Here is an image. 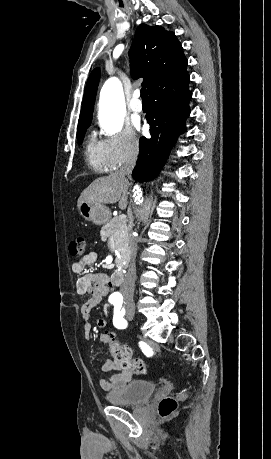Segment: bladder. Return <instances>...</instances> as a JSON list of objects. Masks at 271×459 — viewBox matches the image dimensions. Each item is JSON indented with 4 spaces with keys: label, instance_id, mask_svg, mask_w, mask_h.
I'll return each instance as SVG.
<instances>
[{
    "label": "bladder",
    "instance_id": "31cf9c89",
    "mask_svg": "<svg viewBox=\"0 0 271 459\" xmlns=\"http://www.w3.org/2000/svg\"><path fill=\"white\" fill-rule=\"evenodd\" d=\"M156 391L155 381H132L124 388L114 393H107V398L113 405H141L150 400V396Z\"/></svg>",
    "mask_w": 271,
    "mask_h": 459
}]
</instances>
